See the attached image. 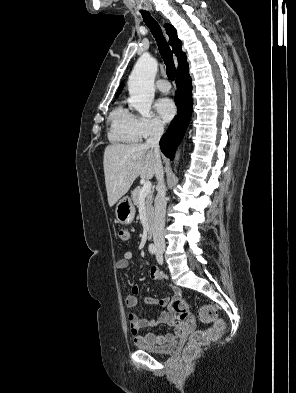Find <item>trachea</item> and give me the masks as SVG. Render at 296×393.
Masks as SVG:
<instances>
[{
  "label": "trachea",
  "mask_w": 296,
  "mask_h": 393,
  "mask_svg": "<svg viewBox=\"0 0 296 393\" xmlns=\"http://www.w3.org/2000/svg\"><path fill=\"white\" fill-rule=\"evenodd\" d=\"M142 17L151 33L156 39L160 54L167 68V76L170 80H174L176 76V68L173 62L172 52L164 38L159 24L151 17L149 12H142Z\"/></svg>",
  "instance_id": "3493384b"
}]
</instances>
